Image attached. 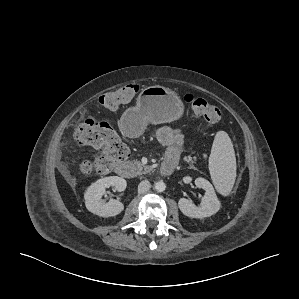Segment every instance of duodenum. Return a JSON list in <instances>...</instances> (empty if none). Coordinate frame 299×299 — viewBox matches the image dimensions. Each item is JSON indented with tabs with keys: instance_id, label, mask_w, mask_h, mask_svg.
I'll use <instances>...</instances> for the list:
<instances>
[{
	"instance_id": "obj_1",
	"label": "duodenum",
	"mask_w": 299,
	"mask_h": 299,
	"mask_svg": "<svg viewBox=\"0 0 299 299\" xmlns=\"http://www.w3.org/2000/svg\"><path fill=\"white\" fill-rule=\"evenodd\" d=\"M175 166L176 164L174 162L164 161L161 165V172L164 175H170L174 171ZM116 173L121 177L129 178L132 176V168L129 164L122 163L117 166Z\"/></svg>"
}]
</instances>
